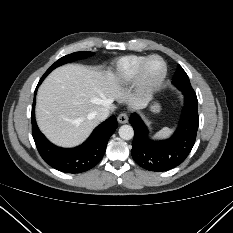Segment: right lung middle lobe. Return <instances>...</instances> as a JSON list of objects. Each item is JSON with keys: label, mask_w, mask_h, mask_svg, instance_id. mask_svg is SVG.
Returning a JSON list of instances; mask_svg holds the SVG:
<instances>
[{"label": "right lung middle lobe", "mask_w": 233, "mask_h": 233, "mask_svg": "<svg viewBox=\"0 0 233 233\" xmlns=\"http://www.w3.org/2000/svg\"><path fill=\"white\" fill-rule=\"evenodd\" d=\"M93 55L92 52H75L69 55H66L62 58H60L59 60H57L47 71L46 73L43 75L42 78H45L53 69H55L58 66H61L65 63H69L78 59H83L86 57H89Z\"/></svg>", "instance_id": "obj_1"}]
</instances>
